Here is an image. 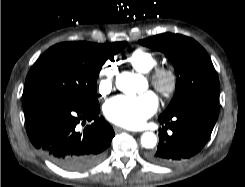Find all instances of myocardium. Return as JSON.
<instances>
[{
  "label": "myocardium",
  "instance_id": "f54148a6",
  "mask_svg": "<svg viewBox=\"0 0 245 187\" xmlns=\"http://www.w3.org/2000/svg\"><path fill=\"white\" fill-rule=\"evenodd\" d=\"M151 86L164 98L172 97L178 88V74L171 67H157L149 75Z\"/></svg>",
  "mask_w": 245,
  "mask_h": 187
}]
</instances>
